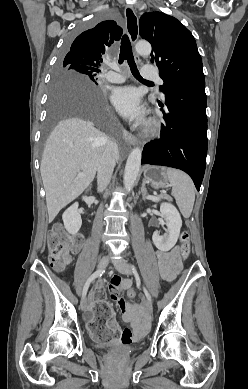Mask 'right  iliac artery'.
<instances>
[{"instance_id":"82829eb1","label":"right iliac artery","mask_w":248,"mask_h":389,"mask_svg":"<svg viewBox=\"0 0 248 389\" xmlns=\"http://www.w3.org/2000/svg\"><path fill=\"white\" fill-rule=\"evenodd\" d=\"M104 272H105L104 269L97 270L96 272H94V273L88 278V280L86 281V283H85V285H84L83 292H82V296H86L90 283H91L92 281H94L97 277L102 276Z\"/></svg>"}]
</instances>
